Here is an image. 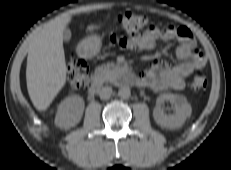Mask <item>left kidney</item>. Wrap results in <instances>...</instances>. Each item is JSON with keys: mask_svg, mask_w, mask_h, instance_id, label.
<instances>
[{"mask_svg": "<svg viewBox=\"0 0 231 170\" xmlns=\"http://www.w3.org/2000/svg\"><path fill=\"white\" fill-rule=\"evenodd\" d=\"M165 101L174 105L175 113L173 115L164 113L162 105ZM191 113L192 108L186 97L176 94H162L157 98L153 116L156 123L161 127L174 129L182 126Z\"/></svg>", "mask_w": 231, "mask_h": 170, "instance_id": "1", "label": "left kidney"}]
</instances>
